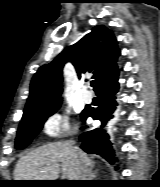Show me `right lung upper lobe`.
<instances>
[{
  "label": "right lung upper lobe",
  "instance_id": "obj_1",
  "mask_svg": "<svg viewBox=\"0 0 160 187\" xmlns=\"http://www.w3.org/2000/svg\"><path fill=\"white\" fill-rule=\"evenodd\" d=\"M120 50L113 32L103 25L95 26L76 44L65 48L52 62L39 68L30 85V95L24 113L36 112L61 103L62 70L70 61L80 78L90 73L94 90L119 72L117 57Z\"/></svg>",
  "mask_w": 160,
  "mask_h": 187
}]
</instances>
